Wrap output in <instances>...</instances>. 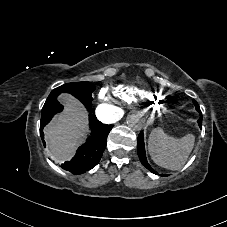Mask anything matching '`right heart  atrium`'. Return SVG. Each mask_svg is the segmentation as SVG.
<instances>
[{"mask_svg":"<svg viewBox=\"0 0 227 227\" xmlns=\"http://www.w3.org/2000/svg\"><path fill=\"white\" fill-rule=\"evenodd\" d=\"M100 97L103 98V99L106 98L105 95H104V93H102V94L100 95Z\"/></svg>","mask_w":227,"mask_h":227,"instance_id":"obj_1","label":"right heart atrium"}]
</instances>
